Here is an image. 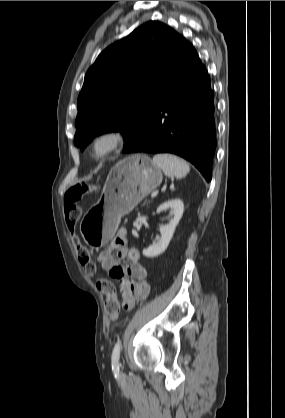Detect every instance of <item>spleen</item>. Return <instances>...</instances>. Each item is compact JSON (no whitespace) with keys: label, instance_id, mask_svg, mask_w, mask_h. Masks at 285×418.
Wrapping results in <instances>:
<instances>
[{"label":"spleen","instance_id":"3e777b00","mask_svg":"<svg viewBox=\"0 0 285 418\" xmlns=\"http://www.w3.org/2000/svg\"><path fill=\"white\" fill-rule=\"evenodd\" d=\"M153 164L161 168L168 177L184 178L190 171L189 164L172 154H156L153 156Z\"/></svg>","mask_w":285,"mask_h":418}]
</instances>
